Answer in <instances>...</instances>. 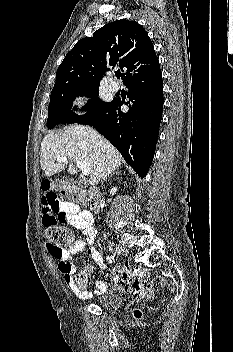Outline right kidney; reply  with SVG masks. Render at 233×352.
<instances>
[{"mask_svg":"<svg viewBox=\"0 0 233 352\" xmlns=\"http://www.w3.org/2000/svg\"><path fill=\"white\" fill-rule=\"evenodd\" d=\"M116 191H117V188H116V187H115V188H112L111 191H110V194H111V195H114V194L116 193Z\"/></svg>","mask_w":233,"mask_h":352,"instance_id":"ca27d5eb","label":"right kidney"}]
</instances>
